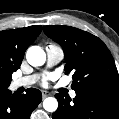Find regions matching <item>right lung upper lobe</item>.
Wrapping results in <instances>:
<instances>
[{
  "mask_svg": "<svg viewBox=\"0 0 119 119\" xmlns=\"http://www.w3.org/2000/svg\"><path fill=\"white\" fill-rule=\"evenodd\" d=\"M40 32V25L0 32V81L20 68L26 49Z\"/></svg>",
  "mask_w": 119,
  "mask_h": 119,
  "instance_id": "right-lung-upper-lobe-1",
  "label": "right lung upper lobe"
}]
</instances>
